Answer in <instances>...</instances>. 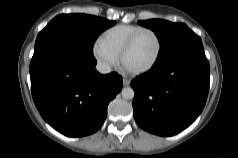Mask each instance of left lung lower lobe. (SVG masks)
<instances>
[{
  "label": "left lung lower lobe",
  "instance_id": "0a47b994",
  "mask_svg": "<svg viewBox=\"0 0 238 158\" xmlns=\"http://www.w3.org/2000/svg\"><path fill=\"white\" fill-rule=\"evenodd\" d=\"M209 63L202 42L187 45L156 61L131 82L134 118L144 130L172 136L201 113L209 90Z\"/></svg>",
  "mask_w": 238,
  "mask_h": 158
}]
</instances>
